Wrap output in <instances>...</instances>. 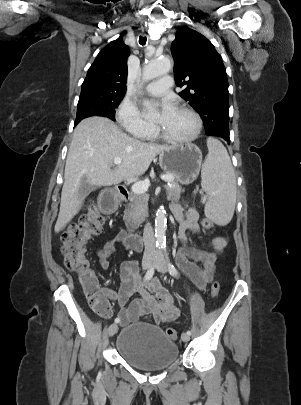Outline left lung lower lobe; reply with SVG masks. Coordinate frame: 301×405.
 Returning <instances> with one entry per match:
<instances>
[{"instance_id": "obj_1", "label": "left lung lower lobe", "mask_w": 301, "mask_h": 405, "mask_svg": "<svg viewBox=\"0 0 301 405\" xmlns=\"http://www.w3.org/2000/svg\"><path fill=\"white\" fill-rule=\"evenodd\" d=\"M212 136H219L226 140L228 143H230V138H229V133H218V134H213Z\"/></svg>"}]
</instances>
